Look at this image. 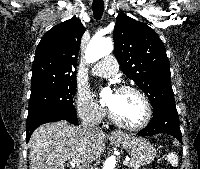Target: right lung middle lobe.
<instances>
[{
	"instance_id": "obj_1",
	"label": "right lung middle lobe",
	"mask_w": 200,
	"mask_h": 169,
	"mask_svg": "<svg viewBox=\"0 0 200 169\" xmlns=\"http://www.w3.org/2000/svg\"><path fill=\"white\" fill-rule=\"evenodd\" d=\"M76 80L46 83L32 88L28 115L40 112L67 113L75 111L73 96Z\"/></svg>"
}]
</instances>
